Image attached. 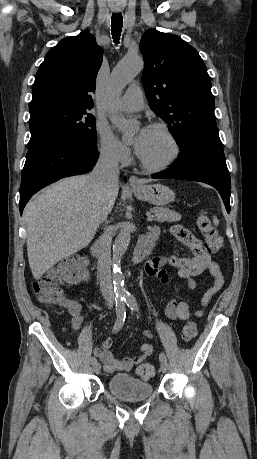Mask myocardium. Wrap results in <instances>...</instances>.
<instances>
[{
	"label": "myocardium",
	"instance_id": "f54148a6",
	"mask_svg": "<svg viewBox=\"0 0 257 459\" xmlns=\"http://www.w3.org/2000/svg\"><path fill=\"white\" fill-rule=\"evenodd\" d=\"M149 128H153V129H157V130L161 131L170 140V142H171V144L173 146L172 155L164 163L158 164V165H153V164H150V163L146 162L140 156V154L138 152H137V157H138V160L140 162V165L144 169H146L147 171L161 172V171H164V170L170 168L178 160V158L180 157V154H181V146H180V143H179L177 137L174 135V133L166 125H164L162 123H152V124L149 125Z\"/></svg>",
	"mask_w": 257,
	"mask_h": 459
}]
</instances>
